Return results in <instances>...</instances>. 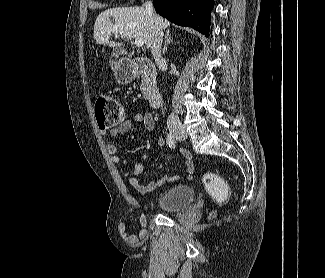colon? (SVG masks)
I'll list each match as a JSON object with an SVG mask.
<instances>
[{"label":"colon","mask_w":325,"mask_h":278,"mask_svg":"<svg viewBox=\"0 0 325 278\" xmlns=\"http://www.w3.org/2000/svg\"><path fill=\"white\" fill-rule=\"evenodd\" d=\"M95 116L101 129L119 126L125 120V109L121 103L109 95H100L95 101ZM203 182L207 191L218 201H224L228 195V183L219 175L207 172Z\"/></svg>","instance_id":"5ec220e1"}]
</instances>
